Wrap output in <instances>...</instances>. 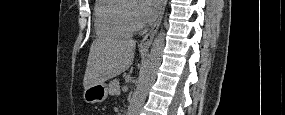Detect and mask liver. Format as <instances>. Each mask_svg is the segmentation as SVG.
Instances as JSON below:
<instances>
[{
  "label": "liver",
  "instance_id": "liver-1",
  "mask_svg": "<svg viewBox=\"0 0 285 115\" xmlns=\"http://www.w3.org/2000/svg\"><path fill=\"white\" fill-rule=\"evenodd\" d=\"M136 42L125 37H99L93 41L83 79L84 89L101 84L127 70Z\"/></svg>",
  "mask_w": 285,
  "mask_h": 115
}]
</instances>
